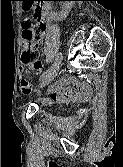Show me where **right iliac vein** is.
I'll return each instance as SVG.
<instances>
[{"label": "right iliac vein", "instance_id": "63e3f726", "mask_svg": "<svg viewBox=\"0 0 123 167\" xmlns=\"http://www.w3.org/2000/svg\"><path fill=\"white\" fill-rule=\"evenodd\" d=\"M60 66H61V62L52 68V70L48 73V75L43 79V82L41 83V87L49 84L55 78V76L59 71Z\"/></svg>", "mask_w": 123, "mask_h": 167}]
</instances>
